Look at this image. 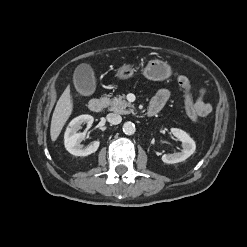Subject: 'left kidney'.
I'll return each mask as SVG.
<instances>
[{
	"mask_svg": "<svg viewBox=\"0 0 247 247\" xmlns=\"http://www.w3.org/2000/svg\"><path fill=\"white\" fill-rule=\"evenodd\" d=\"M171 133L182 143V150L174 154H164L162 161L167 164L182 162L190 157L196 149L195 141L185 131L179 128H171Z\"/></svg>",
	"mask_w": 247,
	"mask_h": 247,
	"instance_id": "1",
	"label": "left kidney"
}]
</instances>
